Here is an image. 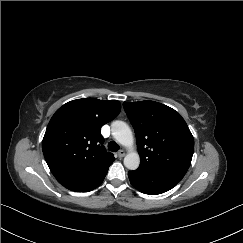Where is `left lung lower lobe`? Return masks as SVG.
Returning <instances> with one entry per match:
<instances>
[{
    "label": "left lung lower lobe",
    "instance_id": "1",
    "mask_svg": "<svg viewBox=\"0 0 243 243\" xmlns=\"http://www.w3.org/2000/svg\"><path fill=\"white\" fill-rule=\"evenodd\" d=\"M187 170L172 167L145 173L129 171L128 176L131 184L137 190L145 194L156 195L172 189L184 177Z\"/></svg>",
    "mask_w": 243,
    "mask_h": 243
}]
</instances>
